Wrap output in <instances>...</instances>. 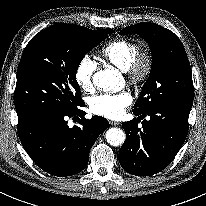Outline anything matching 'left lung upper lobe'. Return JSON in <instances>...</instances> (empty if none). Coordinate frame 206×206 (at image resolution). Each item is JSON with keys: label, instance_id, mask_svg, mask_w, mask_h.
Instances as JSON below:
<instances>
[{"label": "left lung upper lobe", "instance_id": "5c2ea615", "mask_svg": "<svg viewBox=\"0 0 206 206\" xmlns=\"http://www.w3.org/2000/svg\"><path fill=\"white\" fill-rule=\"evenodd\" d=\"M120 34H139L150 46L152 68L133 112L144 113L157 104H193L192 72L180 39L150 22L124 28Z\"/></svg>", "mask_w": 206, "mask_h": 206}]
</instances>
